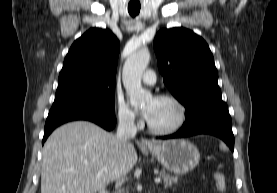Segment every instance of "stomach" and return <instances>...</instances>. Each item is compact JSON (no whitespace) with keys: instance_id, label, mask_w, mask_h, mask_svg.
Listing matches in <instances>:
<instances>
[{"instance_id":"0dacf381","label":"stomach","mask_w":277,"mask_h":193,"mask_svg":"<svg viewBox=\"0 0 277 193\" xmlns=\"http://www.w3.org/2000/svg\"><path fill=\"white\" fill-rule=\"evenodd\" d=\"M152 155L170 172L185 174L194 169L200 160L197 147L185 139L154 142L148 147Z\"/></svg>"}]
</instances>
